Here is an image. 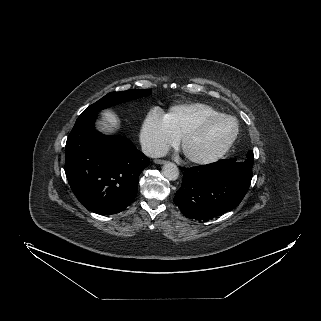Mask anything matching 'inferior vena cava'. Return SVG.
<instances>
[{
	"mask_svg": "<svg viewBox=\"0 0 321 321\" xmlns=\"http://www.w3.org/2000/svg\"><path fill=\"white\" fill-rule=\"evenodd\" d=\"M141 147L142 152L150 158H159L166 155V151L163 148L152 142H143Z\"/></svg>",
	"mask_w": 321,
	"mask_h": 321,
	"instance_id": "602c4592",
	"label": "inferior vena cava"
}]
</instances>
